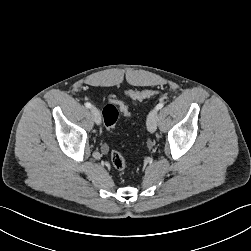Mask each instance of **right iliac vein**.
Instances as JSON below:
<instances>
[{
    "label": "right iliac vein",
    "mask_w": 251,
    "mask_h": 251,
    "mask_svg": "<svg viewBox=\"0 0 251 251\" xmlns=\"http://www.w3.org/2000/svg\"><path fill=\"white\" fill-rule=\"evenodd\" d=\"M91 114L95 123L99 125L101 123V115L98 109L95 107H91Z\"/></svg>",
    "instance_id": "right-iliac-vein-1"
}]
</instances>
